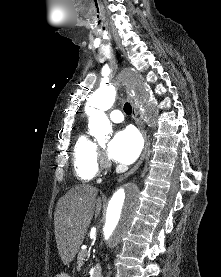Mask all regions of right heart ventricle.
I'll return each mask as SVG.
<instances>
[{
  "mask_svg": "<svg viewBox=\"0 0 221 277\" xmlns=\"http://www.w3.org/2000/svg\"><path fill=\"white\" fill-rule=\"evenodd\" d=\"M72 162L76 177L83 182L93 180L99 173L98 145L86 134H80L72 149Z\"/></svg>",
  "mask_w": 221,
  "mask_h": 277,
  "instance_id": "1",
  "label": "right heart ventricle"
}]
</instances>
